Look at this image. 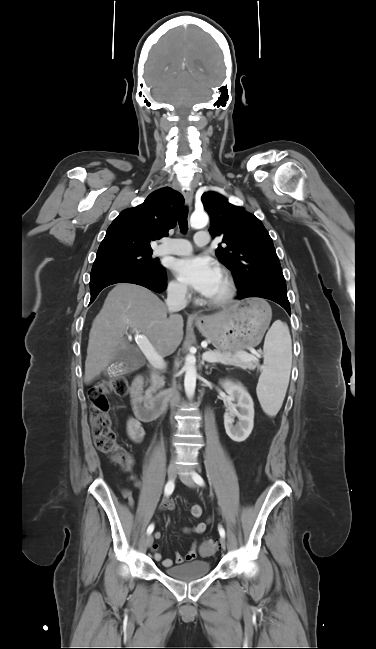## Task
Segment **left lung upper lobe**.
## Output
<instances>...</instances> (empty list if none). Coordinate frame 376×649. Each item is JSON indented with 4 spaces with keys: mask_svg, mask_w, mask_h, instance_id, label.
Returning <instances> with one entry per match:
<instances>
[{
    "mask_svg": "<svg viewBox=\"0 0 376 649\" xmlns=\"http://www.w3.org/2000/svg\"><path fill=\"white\" fill-rule=\"evenodd\" d=\"M201 200L210 216L209 232L213 238L223 237L216 254L238 276L241 293L258 284L287 293L272 239L261 221L217 192H205Z\"/></svg>",
    "mask_w": 376,
    "mask_h": 649,
    "instance_id": "5c2ea615",
    "label": "left lung upper lobe"
}]
</instances>
